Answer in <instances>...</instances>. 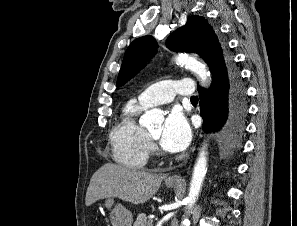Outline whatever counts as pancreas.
<instances>
[{
  "instance_id": "cf45deb5",
  "label": "pancreas",
  "mask_w": 297,
  "mask_h": 226,
  "mask_svg": "<svg viewBox=\"0 0 297 226\" xmlns=\"http://www.w3.org/2000/svg\"><path fill=\"white\" fill-rule=\"evenodd\" d=\"M133 226H153V220L148 219L145 213L138 214Z\"/></svg>"
}]
</instances>
